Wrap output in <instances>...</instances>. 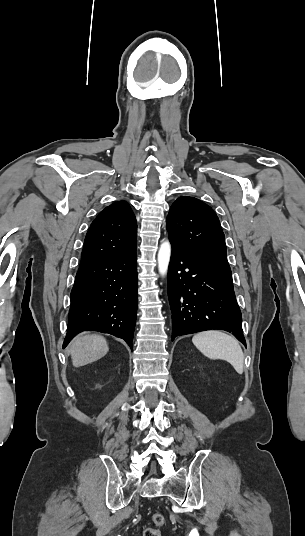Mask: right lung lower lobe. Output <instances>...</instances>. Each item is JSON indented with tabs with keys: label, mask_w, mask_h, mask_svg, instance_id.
I'll list each match as a JSON object with an SVG mask.
<instances>
[{
	"label": "right lung lower lobe",
	"mask_w": 305,
	"mask_h": 536,
	"mask_svg": "<svg viewBox=\"0 0 305 536\" xmlns=\"http://www.w3.org/2000/svg\"><path fill=\"white\" fill-rule=\"evenodd\" d=\"M137 288L136 250L80 265L70 295L63 348L78 333L95 330L124 339L132 349Z\"/></svg>",
	"instance_id": "1"
}]
</instances>
